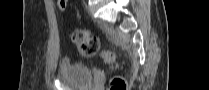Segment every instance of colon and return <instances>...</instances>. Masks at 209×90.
Returning a JSON list of instances; mask_svg holds the SVG:
<instances>
[{"mask_svg":"<svg viewBox=\"0 0 209 90\" xmlns=\"http://www.w3.org/2000/svg\"><path fill=\"white\" fill-rule=\"evenodd\" d=\"M58 4L59 8L64 10L67 0H60ZM72 41L82 56L94 57L99 55L107 64L112 66L115 64V54L110 50H102L99 38L91 31H75L72 36ZM111 90H126L125 81L119 77L114 78L111 82Z\"/></svg>","mask_w":209,"mask_h":90,"instance_id":"1","label":"colon"}]
</instances>
